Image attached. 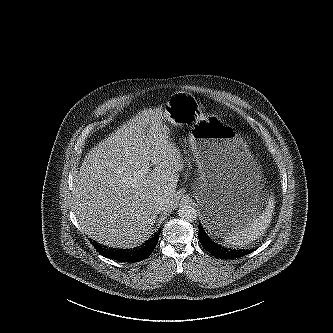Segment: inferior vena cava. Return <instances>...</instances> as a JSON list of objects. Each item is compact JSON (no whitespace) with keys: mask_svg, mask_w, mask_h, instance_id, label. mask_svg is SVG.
I'll return each mask as SVG.
<instances>
[{"mask_svg":"<svg viewBox=\"0 0 333 333\" xmlns=\"http://www.w3.org/2000/svg\"><path fill=\"white\" fill-rule=\"evenodd\" d=\"M156 212L161 213L163 211H167L169 208V202L167 199L163 197H158L156 199V204H155Z\"/></svg>","mask_w":333,"mask_h":333,"instance_id":"1","label":"inferior vena cava"}]
</instances>
